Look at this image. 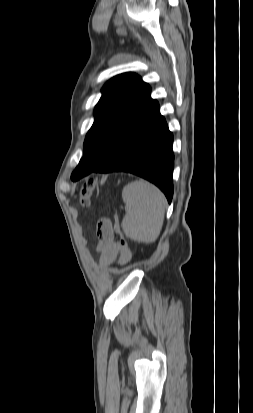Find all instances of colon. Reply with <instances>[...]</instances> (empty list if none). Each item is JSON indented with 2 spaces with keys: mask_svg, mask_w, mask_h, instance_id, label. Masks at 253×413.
<instances>
[{
  "mask_svg": "<svg viewBox=\"0 0 253 413\" xmlns=\"http://www.w3.org/2000/svg\"><path fill=\"white\" fill-rule=\"evenodd\" d=\"M93 190H94V182L93 181H88L83 185V187L80 191V203L83 206H88L89 205ZM114 229H115L116 232L120 233V226H119L118 219L115 220ZM119 244L121 246L126 247V241L124 240V238L121 237Z\"/></svg>",
  "mask_w": 253,
  "mask_h": 413,
  "instance_id": "obj_1",
  "label": "colon"
}]
</instances>
